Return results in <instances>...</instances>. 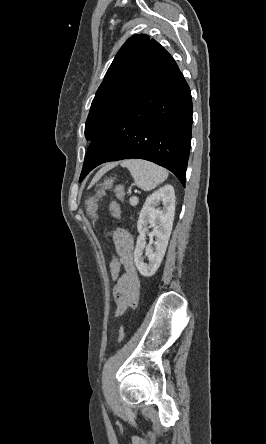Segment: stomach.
Returning a JSON list of instances; mask_svg holds the SVG:
<instances>
[{"mask_svg":"<svg viewBox=\"0 0 266 444\" xmlns=\"http://www.w3.org/2000/svg\"><path fill=\"white\" fill-rule=\"evenodd\" d=\"M113 187V180L112 179H107L103 182V184L101 185V188L97 191L96 196L91 197L90 199H88L86 201V210L88 211V213L92 216L95 217V212L98 208L97 205V201L98 198L102 197L105 195V190L106 189H110Z\"/></svg>","mask_w":266,"mask_h":444,"instance_id":"obj_1","label":"stomach"}]
</instances>
